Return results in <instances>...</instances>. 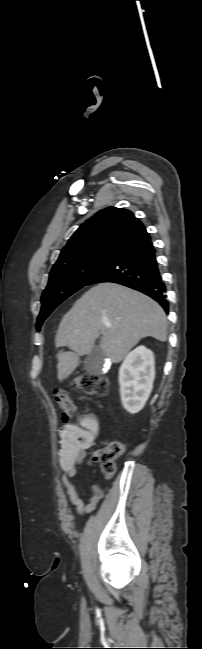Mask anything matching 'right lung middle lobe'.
<instances>
[{
  "instance_id": "1",
  "label": "right lung middle lobe",
  "mask_w": 202,
  "mask_h": 649,
  "mask_svg": "<svg viewBox=\"0 0 202 649\" xmlns=\"http://www.w3.org/2000/svg\"><path fill=\"white\" fill-rule=\"evenodd\" d=\"M114 255L112 252L90 251L57 261L42 294L37 330H40L43 321L61 302L85 286L94 273Z\"/></svg>"
}]
</instances>
